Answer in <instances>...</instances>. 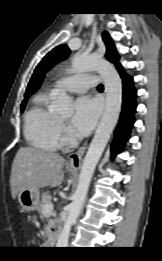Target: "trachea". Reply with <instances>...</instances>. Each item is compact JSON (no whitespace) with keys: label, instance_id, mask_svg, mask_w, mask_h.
<instances>
[{"label":"trachea","instance_id":"obj_1","mask_svg":"<svg viewBox=\"0 0 162 261\" xmlns=\"http://www.w3.org/2000/svg\"><path fill=\"white\" fill-rule=\"evenodd\" d=\"M98 89H99V90H102V89H103V85H102V84H99V85H98Z\"/></svg>","mask_w":162,"mask_h":261}]
</instances>
